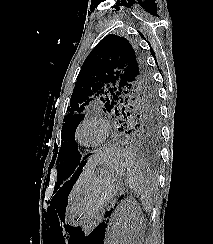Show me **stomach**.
Returning a JSON list of instances; mask_svg holds the SVG:
<instances>
[{"instance_id": "obj_1", "label": "stomach", "mask_w": 213, "mask_h": 244, "mask_svg": "<svg viewBox=\"0 0 213 244\" xmlns=\"http://www.w3.org/2000/svg\"><path fill=\"white\" fill-rule=\"evenodd\" d=\"M124 176L113 166L112 153L100 166L89 173L75 192V198L65 215V222L82 225L96 218L118 195Z\"/></svg>"}]
</instances>
